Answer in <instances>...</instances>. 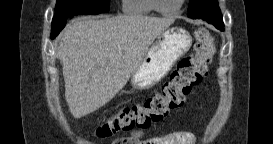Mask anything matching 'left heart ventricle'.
<instances>
[{
  "label": "left heart ventricle",
  "mask_w": 273,
  "mask_h": 144,
  "mask_svg": "<svg viewBox=\"0 0 273 144\" xmlns=\"http://www.w3.org/2000/svg\"><path fill=\"white\" fill-rule=\"evenodd\" d=\"M179 0H159V5L164 10H169L177 7Z\"/></svg>",
  "instance_id": "1"
}]
</instances>
